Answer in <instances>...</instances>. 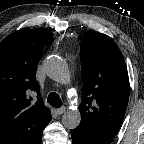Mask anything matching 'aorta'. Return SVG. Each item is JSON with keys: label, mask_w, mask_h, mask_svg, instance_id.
Returning a JSON list of instances; mask_svg holds the SVG:
<instances>
[{"label": "aorta", "mask_w": 144, "mask_h": 144, "mask_svg": "<svg viewBox=\"0 0 144 144\" xmlns=\"http://www.w3.org/2000/svg\"><path fill=\"white\" fill-rule=\"evenodd\" d=\"M45 71L49 78L62 82L68 78L66 63L58 57H50L45 62ZM81 121V113L78 109H69L62 116V123L68 129H75Z\"/></svg>", "instance_id": "aorta-1"}]
</instances>
